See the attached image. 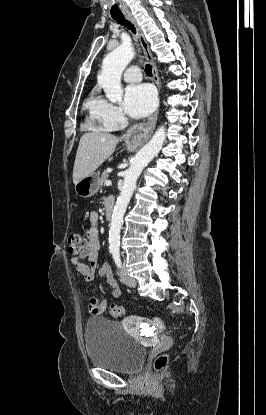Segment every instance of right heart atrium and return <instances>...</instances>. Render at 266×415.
<instances>
[{"label": "right heart atrium", "instance_id": "d8ad5b80", "mask_svg": "<svg viewBox=\"0 0 266 415\" xmlns=\"http://www.w3.org/2000/svg\"><path fill=\"white\" fill-rule=\"evenodd\" d=\"M89 109L93 119L108 130L118 128L126 121L121 108L102 97L93 98Z\"/></svg>", "mask_w": 266, "mask_h": 415}]
</instances>
